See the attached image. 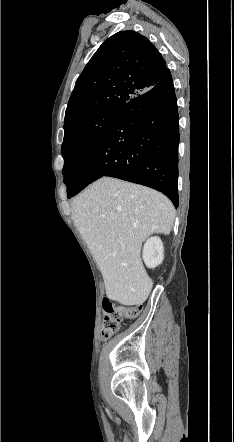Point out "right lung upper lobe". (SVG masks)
<instances>
[{"mask_svg": "<svg viewBox=\"0 0 234 442\" xmlns=\"http://www.w3.org/2000/svg\"><path fill=\"white\" fill-rule=\"evenodd\" d=\"M155 46L134 31L105 40L78 77L65 113V125L89 113L121 108L152 88L167 70Z\"/></svg>", "mask_w": 234, "mask_h": 442, "instance_id": "right-lung-upper-lobe-1", "label": "right lung upper lobe"}]
</instances>
